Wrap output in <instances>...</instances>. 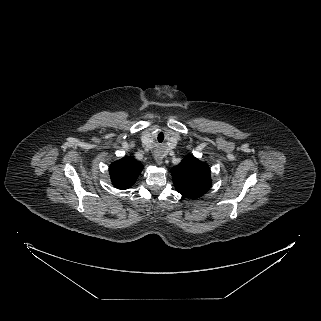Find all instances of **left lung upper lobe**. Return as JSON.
Returning <instances> with one entry per match:
<instances>
[{"label": "left lung upper lobe", "mask_w": 321, "mask_h": 321, "mask_svg": "<svg viewBox=\"0 0 321 321\" xmlns=\"http://www.w3.org/2000/svg\"><path fill=\"white\" fill-rule=\"evenodd\" d=\"M171 175L176 190L191 199L201 197L212 185L209 167L193 155H188L173 167Z\"/></svg>", "instance_id": "1"}]
</instances>
